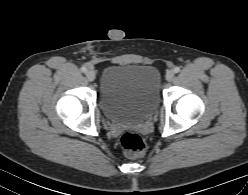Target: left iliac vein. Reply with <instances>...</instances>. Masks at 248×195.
Here are the masks:
<instances>
[{
  "label": "left iliac vein",
  "mask_w": 248,
  "mask_h": 195,
  "mask_svg": "<svg viewBox=\"0 0 248 195\" xmlns=\"http://www.w3.org/2000/svg\"><path fill=\"white\" fill-rule=\"evenodd\" d=\"M175 76V73L173 70H169L167 73H166V79L167 81H172L173 78Z\"/></svg>",
  "instance_id": "1"
}]
</instances>
